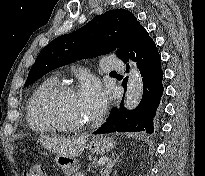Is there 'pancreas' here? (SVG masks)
<instances>
[{
	"label": "pancreas",
	"mask_w": 205,
	"mask_h": 176,
	"mask_svg": "<svg viewBox=\"0 0 205 176\" xmlns=\"http://www.w3.org/2000/svg\"><path fill=\"white\" fill-rule=\"evenodd\" d=\"M75 176H82L80 173L76 174Z\"/></svg>",
	"instance_id": "obj_1"
}]
</instances>
